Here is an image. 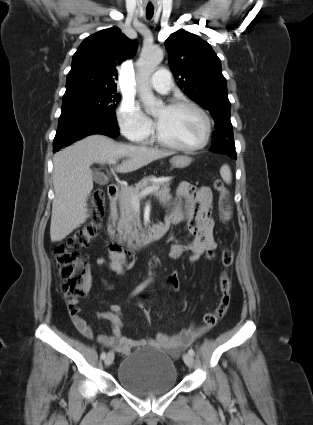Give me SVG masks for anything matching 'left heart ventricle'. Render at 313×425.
Returning a JSON list of instances; mask_svg holds the SVG:
<instances>
[{
  "mask_svg": "<svg viewBox=\"0 0 313 425\" xmlns=\"http://www.w3.org/2000/svg\"><path fill=\"white\" fill-rule=\"evenodd\" d=\"M157 130L166 141L173 144L191 147L201 142L204 135V121L192 109L160 108L155 113Z\"/></svg>",
  "mask_w": 313,
  "mask_h": 425,
  "instance_id": "left-heart-ventricle-1",
  "label": "left heart ventricle"
}]
</instances>
